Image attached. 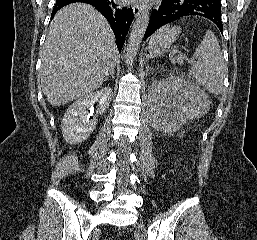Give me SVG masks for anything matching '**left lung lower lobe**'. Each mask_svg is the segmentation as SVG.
<instances>
[{
    "instance_id": "left-lung-lower-lobe-1",
    "label": "left lung lower lobe",
    "mask_w": 257,
    "mask_h": 240,
    "mask_svg": "<svg viewBox=\"0 0 257 240\" xmlns=\"http://www.w3.org/2000/svg\"><path fill=\"white\" fill-rule=\"evenodd\" d=\"M185 16L206 18L212 21L222 33L220 0H163L161 5L151 14L145 39L160 27Z\"/></svg>"
}]
</instances>
